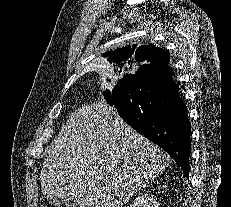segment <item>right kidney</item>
Returning a JSON list of instances; mask_svg holds the SVG:
<instances>
[{
  "instance_id": "obj_1",
  "label": "right kidney",
  "mask_w": 231,
  "mask_h": 207,
  "mask_svg": "<svg viewBox=\"0 0 231 207\" xmlns=\"http://www.w3.org/2000/svg\"><path fill=\"white\" fill-rule=\"evenodd\" d=\"M130 207H159V203L153 194L147 193L137 197Z\"/></svg>"
}]
</instances>
